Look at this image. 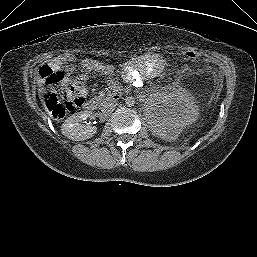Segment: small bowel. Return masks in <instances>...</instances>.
I'll return each mask as SVG.
<instances>
[{
    "instance_id": "1",
    "label": "small bowel",
    "mask_w": 257,
    "mask_h": 257,
    "mask_svg": "<svg viewBox=\"0 0 257 257\" xmlns=\"http://www.w3.org/2000/svg\"><path fill=\"white\" fill-rule=\"evenodd\" d=\"M72 71V67H69L67 70H66V75L68 76Z\"/></svg>"
}]
</instances>
